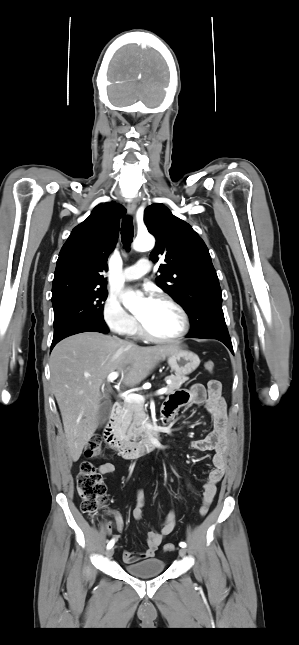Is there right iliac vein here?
<instances>
[{
  "mask_svg": "<svg viewBox=\"0 0 299 645\" xmlns=\"http://www.w3.org/2000/svg\"><path fill=\"white\" fill-rule=\"evenodd\" d=\"M113 554H114V548H110V549H108V550H107V552H106V556H107L108 558H111V557L113 556Z\"/></svg>",
  "mask_w": 299,
  "mask_h": 645,
  "instance_id": "63e3f726",
  "label": "right iliac vein"
}]
</instances>
